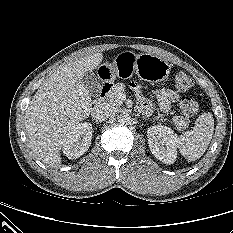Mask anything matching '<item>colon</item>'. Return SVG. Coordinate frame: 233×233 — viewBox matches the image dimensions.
<instances>
[{
	"mask_svg": "<svg viewBox=\"0 0 233 233\" xmlns=\"http://www.w3.org/2000/svg\"><path fill=\"white\" fill-rule=\"evenodd\" d=\"M173 84L180 91H186L193 85V79L183 70H178L173 75ZM181 113L185 117H193L199 111V104L196 100L186 97L180 102Z\"/></svg>",
	"mask_w": 233,
	"mask_h": 233,
	"instance_id": "1",
	"label": "colon"
}]
</instances>
